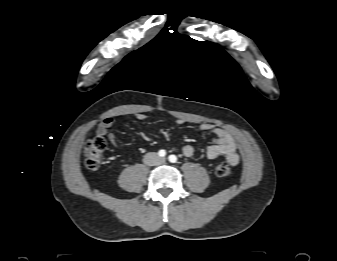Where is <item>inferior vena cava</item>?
<instances>
[{
    "label": "inferior vena cava",
    "instance_id": "1",
    "mask_svg": "<svg viewBox=\"0 0 337 261\" xmlns=\"http://www.w3.org/2000/svg\"><path fill=\"white\" fill-rule=\"evenodd\" d=\"M144 164L149 166L160 165L164 162L163 158L159 157L156 153L150 152L144 156Z\"/></svg>",
    "mask_w": 337,
    "mask_h": 261
}]
</instances>
